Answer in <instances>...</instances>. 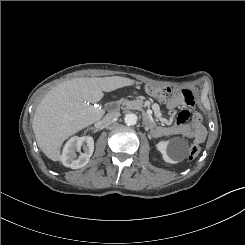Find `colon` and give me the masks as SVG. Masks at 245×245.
Instances as JSON below:
<instances>
[{
    "label": "colon",
    "instance_id": "1",
    "mask_svg": "<svg viewBox=\"0 0 245 245\" xmlns=\"http://www.w3.org/2000/svg\"><path fill=\"white\" fill-rule=\"evenodd\" d=\"M145 92L148 95L160 101H165L170 97L172 93L171 89L168 87H154V86H146ZM200 152H201V147L198 144H192L189 148L188 158L190 160H193L200 154Z\"/></svg>",
    "mask_w": 245,
    "mask_h": 245
}]
</instances>
